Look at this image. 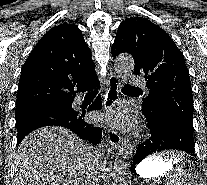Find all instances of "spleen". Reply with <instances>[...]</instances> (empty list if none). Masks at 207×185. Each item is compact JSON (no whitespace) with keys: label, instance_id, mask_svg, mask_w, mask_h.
<instances>
[{"label":"spleen","instance_id":"spleen-1","mask_svg":"<svg viewBox=\"0 0 207 185\" xmlns=\"http://www.w3.org/2000/svg\"><path fill=\"white\" fill-rule=\"evenodd\" d=\"M169 153H157V158H169ZM175 164H181L182 169L170 170L169 178L163 185H195L199 183L200 174L198 170H193L190 158L175 159Z\"/></svg>","mask_w":207,"mask_h":185}]
</instances>
